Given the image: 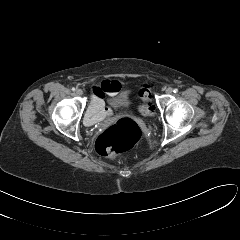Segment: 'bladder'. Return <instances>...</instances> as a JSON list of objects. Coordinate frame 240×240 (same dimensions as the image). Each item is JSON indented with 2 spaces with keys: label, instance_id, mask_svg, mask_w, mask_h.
<instances>
[{
  "label": "bladder",
  "instance_id": "1",
  "mask_svg": "<svg viewBox=\"0 0 240 240\" xmlns=\"http://www.w3.org/2000/svg\"><path fill=\"white\" fill-rule=\"evenodd\" d=\"M109 102L115 111H124L130 107L131 98L129 94L123 93L112 97Z\"/></svg>",
  "mask_w": 240,
  "mask_h": 240
}]
</instances>
